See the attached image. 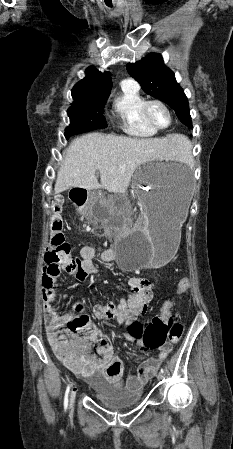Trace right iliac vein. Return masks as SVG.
Returning a JSON list of instances; mask_svg holds the SVG:
<instances>
[{"instance_id": "obj_1", "label": "right iliac vein", "mask_w": 233, "mask_h": 449, "mask_svg": "<svg viewBox=\"0 0 233 449\" xmlns=\"http://www.w3.org/2000/svg\"><path fill=\"white\" fill-rule=\"evenodd\" d=\"M75 397H76V390L73 389V390L70 392V396H69V405H70V407H72V406L74 405Z\"/></svg>"}]
</instances>
